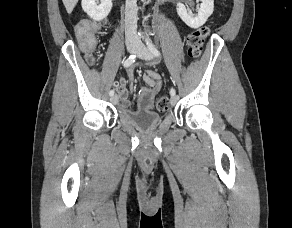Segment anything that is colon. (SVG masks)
Segmentation results:
<instances>
[{
	"instance_id": "1",
	"label": "colon",
	"mask_w": 292,
	"mask_h": 228,
	"mask_svg": "<svg viewBox=\"0 0 292 228\" xmlns=\"http://www.w3.org/2000/svg\"><path fill=\"white\" fill-rule=\"evenodd\" d=\"M209 28L202 27L191 32L187 38L189 56L197 58L201 55L203 44L209 35ZM76 34L81 48L87 53L88 62L95 60V26L92 23H82L77 26ZM156 109L160 112L166 111L169 107V98L162 95L156 100Z\"/></svg>"
}]
</instances>
